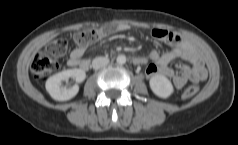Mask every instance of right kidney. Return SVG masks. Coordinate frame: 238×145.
Wrapping results in <instances>:
<instances>
[{"mask_svg":"<svg viewBox=\"0 0 238 145\" xmlns=\"http://www.w3.org/2000/svg\"><path fill=\"white\" fill-rule=\"evenodd\" d=\"M69 78H73L77 83H80L85 80L86 73L82 69L75 68L61 71L49 77L45 87L53 99L57 101H66L76 96L79 91V86L77 84L68 89L62 86V81L68 80Z\"/></svg>","mask_w":238,"mask_h":145,"instance_id":"ca27d5eb","label":"right kidney"}]
</instances>
